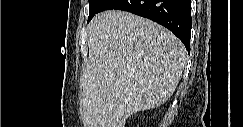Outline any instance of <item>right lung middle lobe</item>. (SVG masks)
I'll list each match as a JSON object with an SVG mask.
<instances>
[{"instance_id":"obj_1","label":"right lung middle lobe","mask_w":243,"mask_h":127,"mask_svg":"<svg viewBox=\"0 0 243 127\" xmlns=\"http://www.w3.org/2000/svg\"><path fill=\"white\" fill-rule=\"evenodd\" d=\"M89 1V17L88 22L93 18V16L99 11L106 0H88Z\"/></svg>"}]
</instances>
